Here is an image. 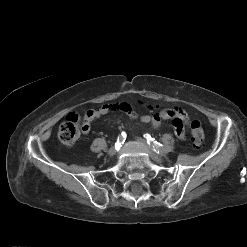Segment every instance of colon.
Wrapping results in <instances>:
<instances>
[{"label":"colon","instance_id":"obj_1","mask_svg":"<svg viewBox=\"0 0 247 247\" xmlns=\"http://www.w3.org/2000/svg\"><path fill=\"white\" fill-rule=\"evenodd\" d=\"M83 124L79 115L72 113L60 125L58 138L62 144L72 146L79 139ZM190 137L195 147H200L204 141V130L199 121L193 120L190 124Z\"/></svg>","mask_w":247,"mask_h":247}]
</instances>
